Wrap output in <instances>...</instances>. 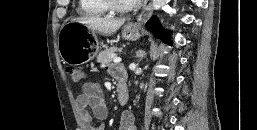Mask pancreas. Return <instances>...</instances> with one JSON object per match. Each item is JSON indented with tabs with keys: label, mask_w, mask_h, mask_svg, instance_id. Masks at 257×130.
Instances as JSON below:
<instances>
[{
	"label": "pancreas",
	"mask_w": 257,
	"mask_h": 130,
	"mask_svg": "<svg viewBox=\"0 0 257 130\" xmlns=\"http://www.w3.org/2000/svg\"><path fill=\"white\" fill-rule=\"evenodd\" d=\"M118 51L117 47H111V48H106L102 52L99 53L97 56V62L108 65L112 62L113 58L115 57V53Z\"/></svg>",
	"instance_id": "cf45deb5"
}]
</instances>
